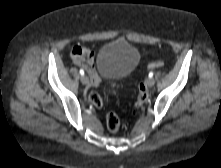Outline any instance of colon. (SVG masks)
Wrapping results in <instances>:
<instances>
[{
    "label": "colon",
    "instance_id": "obj_1",
    "mask_svg": "<svg viewBox=\"0 0 221 168\" xmlns=\"http://www.w3.org/2000/svg\"><path fill=\"white\" fill-rule=\"evenodd\" d=\"M164 66V62L161 60L152 61L148 64L149 69H158ZM148 99V93L146 90V86L144 83H141L139 85L138 95L135 102L136 109L140 108ZM90 103L96 107L101 108L103 105L102 97L96 93L93 92L89 96ZM106 124L110 131L115 132L120 128V119L118 115L114 112H109L106 116Z\"/></svg>",
    "mask_w": 221,
    "mask_h": 168
}]
</instances>
